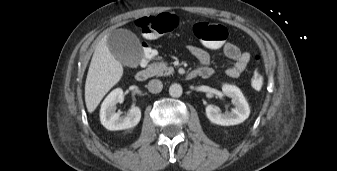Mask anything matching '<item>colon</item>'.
<instances>
[{
  "mask_svg": "<svg viewBox=\"0 0 337 171\" xmlns=\"http://www.w3.org/2000/svg\"><path fill=\"white\" fill-rule=\"evenodd\" d=\"M138 27L142 33L149 37L155 38L161 34L173 31L179 25V20L176 16L168 13L157 16H145L137 21ZM193 34L199 39L200 44L205 48L220 49L227 39V29L220 24H211L207 22H198L193 26ZM141 61L150 63L156 56V49L151 41L142 43ZM255 60H259V56H255ZM251 84L253 88L260 89L264 84V76L260 69L256 68L252 74Z\"/></svg>",
  "mask_w": 337,
  "mask_h": 171,
  "instance_id": "1",
  "label": "colon"
}]
</instances>
